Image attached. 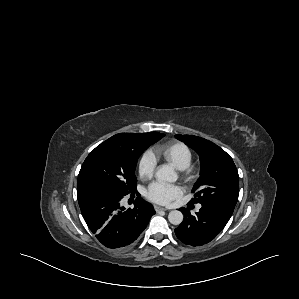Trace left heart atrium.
I'll return each instance as SVG.
<instances>
[{
  "instance_id": "obj_1",
  "label": "left heart atrium",
  "mask_w": 299,
  "mask_h": 299,
  "mask_svg": "<svg viewBox=\"0 0 299 299\" xmlns=\"http://www.w3.org/2000/svg\"><path fill=\"white\" fill-rule=\"evenodd\" d=\"M182 190L179 186L168 185L161 182L152 183L147 191L148 198L159 204H169L180 197Z\"/></svg>"
}]
</instances>
